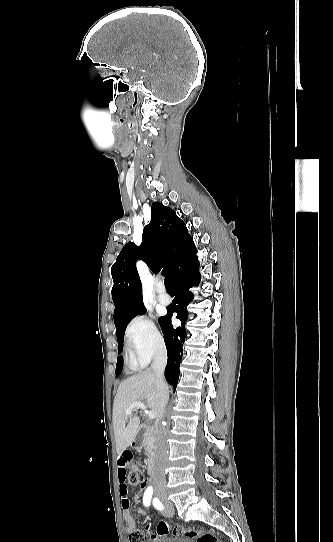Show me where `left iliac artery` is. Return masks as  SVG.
<instances>
[{
    "instance_id": "44dca946",
    "label": "left iliac artery",
    "mask_w": 333,
    "mask_h": 542,
    "mask_svg": "<svg viewBox=\"0 0 333 542\" xmlns=\"http://www.w3.org/2000/svg\"><path fill=\"white\" fill-rule=\"evenodd\" d=\"M153 505H154V507H155L156 509H158V510H162V509H163V505H162V503H161L159 500L154 499V500H153Z\"/></svg>"
}]
</instances>
